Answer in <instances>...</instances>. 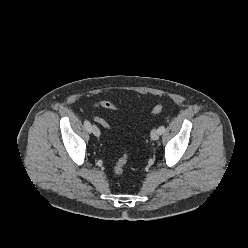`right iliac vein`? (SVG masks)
<instances>
[{
	"label": "right iliac vein",
	"instance_id": "1",
	"mask_svg": "<svg viewBox=\"0 0 248 248\" xmlns=\"http://www.w3.org/2000/svg\"><path fill=\"white\" fill-rule=\"evenodd\" d=\"M91 132L96 136L99 137L100 136V130L96 125H92L91 126Z\"/></svg>",
	"mask_w": 248,
	"mask_h": 248
}]
</instances>
